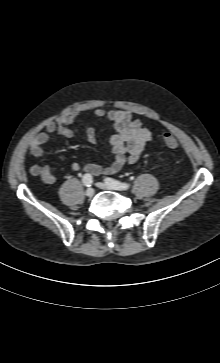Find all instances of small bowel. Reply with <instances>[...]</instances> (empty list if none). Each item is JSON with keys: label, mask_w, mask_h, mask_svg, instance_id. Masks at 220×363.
<instances>
[{"label": "small bowel", "mask_w": 220, "mask_h": 363, "mask_svg": "<svg viewBox=\"0 0 220 363\" xmlns=\"http://www.w3.org/2000/svg\"><path fill=\"white\" fill-rule=\"evenodd\" d=\"M79 113L73 112L58 121L49 122L45 129L38 133L30 142V151L35 158L44 155L43 146L49 141L53 133L63 137L71 138L75 131L70 126L75 122ZM96 118L106 117L114 125V133L109 139L110 147L114 153V159L110 165L101 166L95 163L81 164L74 162V171H85L89 174H114L121 170L126 164H133L140 158L146 144L152 139V132L143 126L142 122L135 119L128 111L96 109L93 112ZM85 136L89 143H95L96 133L93 127L85 129ZM30 173L39 176L44 182L53 184L56 176L48 166L32 165Z\"/></svg>", "instance_id": "obj_1"}]
</instances>
